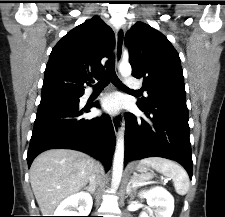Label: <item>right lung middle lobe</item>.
I'll use <instances>...</instances> for the list:
<instances>
[{
    "instance_id": "1",
    "label": "right lung middle lobe",
    "mask_w": 225,
    "mask_h": 217,
    "mask_svg": "<svg viewBox=\"0 0 225 217\" xmlns=\"http://www.w3.org/2000/svg\"><path fill=\"white\" fill-rule=\"evenodd\" d=\"M82 93H55L49 95H42L41 102L47 101H69V102H79V98Z\"/></svg>"
}]
</instances>
